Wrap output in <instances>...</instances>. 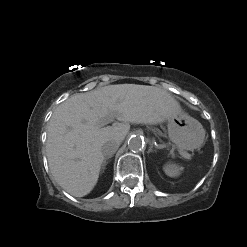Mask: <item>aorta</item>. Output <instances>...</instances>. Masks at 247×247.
I'll list each match as a JSON object with an SVG mask.
<instances>
[{"label": "aorta", "mask_w": 247, "mask_h": 247, "mask_svg": "<svg viewBox=\"0 0 247 247\" xmlns=\"http://www.w3.org/2000/svg\"><path fill=\"white\" fill-rule=\"evenodd\" d=\"M144 144V139L139 135H133L128 140V148L133 152L143 149Z\"/></svg>", "instance_id": "aorta-1"}]
</instances>
